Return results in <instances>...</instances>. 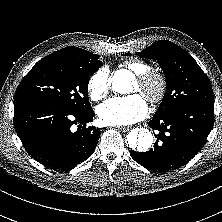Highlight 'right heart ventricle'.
<instances>
[{
	"instance_id": "1",
	"label": "right heart ventricle",
	"mask_w": 222,
	"mask_h": 222,
	"mask_svg": "<svg viewBox=\"0 0 222 222\" xmlns=\"http://www.w3.org/2000/svg\"><path fill=\"white\" fill-rule=\"evenodd\" d=\"M123 65L136 75H140L151 70V66L140 59H128L124 61Z\"/></svg>"
}]
</instances>
